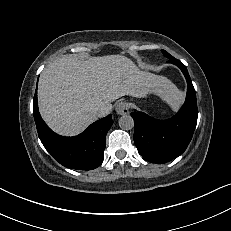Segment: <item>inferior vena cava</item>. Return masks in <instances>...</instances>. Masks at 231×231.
<instances>
[{
    "label": "inferior vena cava",
    "mask_w": 231,
    "mask_h": 231,
    "mask_svg": "<svg viewBox=\"0 0 231 231\" xmlns=\"http://www.w3.org/2000/svg\"><path fill=\"white\" fill-rule=\"evenodd\" d=\"M97 116L98 117H104L106 116L107 114H109V111L108 109H106L105 107H101L97 110L96 112Z\"/></svg>",
    "instance_id": "1"
}]
</instances>
